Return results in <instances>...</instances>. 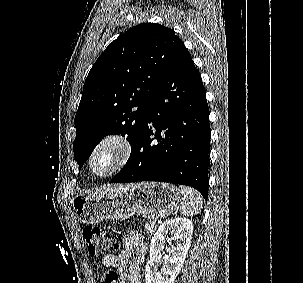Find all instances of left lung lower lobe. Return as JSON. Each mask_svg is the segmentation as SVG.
I'll list each match as a JSON object with an SVG mask.
<instances>
[{"label": "left lung lower lobe", "instance_id": "0a47b994", "mask_svg": "<svg viewBox=\"0 0 303 283\" xmlns=\"http://www.w3.org/2000/svg\"><path fill=\"white\" fill-rule=\"evenodd\" d=\"M209 152L206 91L184 48L150 101L129 161L110 183L169 182L191 186L207 199Z\"/></svg>", "mask_w": 303, "mask_h": 283}]
</instances>
